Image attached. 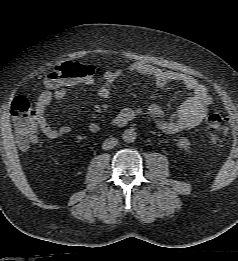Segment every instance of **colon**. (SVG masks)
Listing matches in <instances>:
<instances>
[{"label": "colon", "instance_id": "1", "mask_svg": "<svg viewBox=\"0 0 238 261\" xmlns=\"http://www.w3.org/2000/svg\"><path fill=\"white\" fill-rule=\"evenodd\" d=\"M94 74V67L78 62H65L56 67L47 77V84L57 87ZM35 107L24 97H17L11 106L16 140L20 148L26 149L37 141ZM210 140L222 144L228 133V121L220 113H212L207 118Z\"/></svg>", "mask_w": 238, "mask_h": 261}]
</instances>
